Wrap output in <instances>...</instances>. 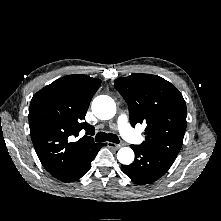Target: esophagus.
<instances>
[{
  "label": "esophagus",
  "mask_w": 221,
  "mask_h": 221,
  "mask_svg": "<svg viewBox=\"0 0 221 221\" xmlns=\"http://www.w3.org/2000/svg\"><path fill=\"white\" fill-rule=\"evenodd\" d=\"M107 146H108L109 148H113V149H119V148L122 147L121 144H115V143H112V142H107Z\"/></svg>",
  "instance_id": "1"
}]
</instances>
